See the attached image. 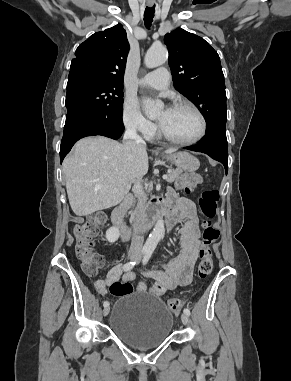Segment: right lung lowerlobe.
Masks as SVG:
<instances>
[{
    "label": "right lung lower lobe",
    "mask_w": 291,
    "mask_h": 381,
    "mask_svg": "<svg viewBox=\"0 0 291 381\" xmlns=\"http://www.w3.org/2000/svg\"><path fill=\"white\" fill-rule=\"evenodd\" d=\"M123 131L122 118H107L91 122L81 113L71 112L66 116L64 134L60 146V159L63 161L72 146L83 137L102 135L117 140Z\"/></svg>",
    "instance_id": "obj_1"
}]
</instances>
